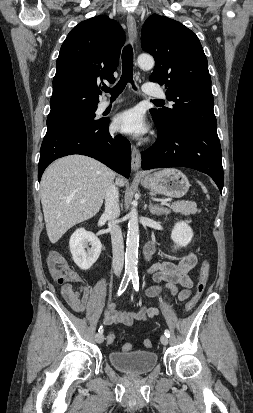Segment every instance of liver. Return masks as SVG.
Returning a JSON list of instances; mask_svg holds the SVG:
<instances>
[{
  "label": "liver",
  "mask_w": 253,
  "mask_h": 413,
  "mask_svg": "<svg viewBox=\"0 0 253 413\" xmlns=\"http://www.w3.org/2000/svg\"><path fill=\"white\" fill-rule=\"evenodd\" d=\"M114 178L110 168L84 155H69L48 166L42 175L40 197L51 243L99 212ZM117 184L124 186V179L118 177Z\"/></svg>",
  "instance_id": "1"
}]
</instances>
